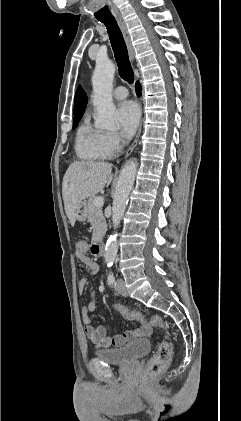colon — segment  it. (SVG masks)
<instances>
[{"mask_svg":"<svg viewBox=\"0 0 241 421\" xmlns=\"http://www.w3.org/2000/svg\"><path fill=\"white\" fill-rule=\"evenodd\" d=\"M76 252L80 255H88V253L92 252V245L86 240H79L76 243ZM114 309L125 319L137 320L162 330L164 339L158 345L155 354L148 361L146 373L151 378L164 371L170 362L173 347L169 340L168 328L163 318L159 315H154L150 319H146L140 312L129 310L121 305H114Z\"/></svg>","mask_w":241,"mask_h":421,"instance_id":"colon-1","label":"colon"}]
</instances>
